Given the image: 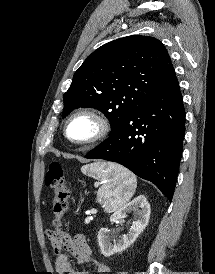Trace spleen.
I'll return each instance as SVG.
<instances>
[{
	"label": "spleen",
	"instance_id": "1",
	"mask_svg": "<svg viewBox=\"0 0 215 274\" xmlns=\"http://www.w3.org/2000/svg\"><path fill=\"white\" fill-rule=\"evenodd\" d=\"M83 174L102 181L99 188L98 201L108 212L124 206L133 196L137 180L127 169L113 163H92L81 168Z\"/></svg>",
	"mask_w": 215,
	"mask_h": 274
}]
</instances>
